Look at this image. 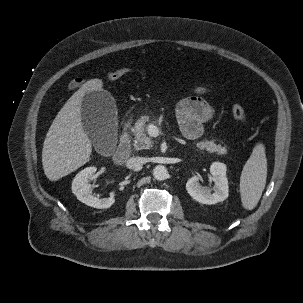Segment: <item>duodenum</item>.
Instances as JSON below:
<instances>
[{"label": "duodenum", "mask_w": 303, "mask_h": 303, "mask_svg": "<svg viewBox=\"0 0 303 303\" xmlns=\"http://www.w3.org/2000/svg\"><path fill=\"white\" fill-rule=\"evenodd\" d=\"M131 154V142L129 137V124H125L119 145L113 154V161L121 165L123 164Z\"/></svg>", "instance_id": "1"}]
</instances>
